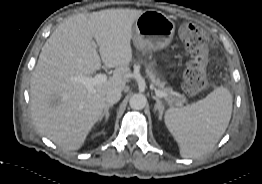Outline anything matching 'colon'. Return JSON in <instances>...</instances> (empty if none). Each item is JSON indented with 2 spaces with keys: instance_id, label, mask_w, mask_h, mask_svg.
<instances>
[{
  "instance_id": "colon-1",
  "label": "colon",
  "mask_w": 262,
  "mask_h": 184,
  "mask_svg": "<svg viewBox=\"0 0 262 184\" xmlns=\"http://www.w3.org/2000/svg\"><path fill=\"white\" fill-rule=\"evenodd\" d=\"M178 34L189 56L183 71V88L196 95L207 86L209 37L203 28L189 22L179 26Z\"/></svg>"
}]
</instances>
